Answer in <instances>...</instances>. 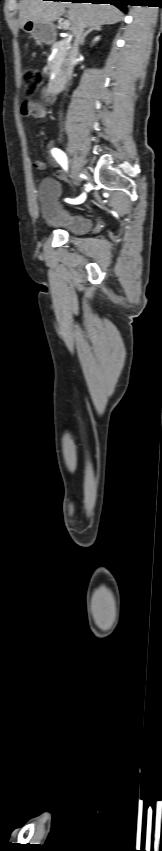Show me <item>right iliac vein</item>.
Wrapping results in <instances>:
<instances>
[{
  "label": "right iliac vein",
  "mask_w": 162,
  "mask_h": 851,
  "mask_svg": "<svg viewBox=\"0 0 162 851\" xmlns=\"http://www.w3.org/2000/svg\"><path fill=\"white\" fill-rule=\"evenodd\" d=\"M72 168H73L72 175H73V178H74V183H75L76 186H79L80 183H81V178L79 177V174H78L79 168H75L74 165L72 166Z\"/></svg>",
  "instance_id": "obj_1"
}]
</instances>
